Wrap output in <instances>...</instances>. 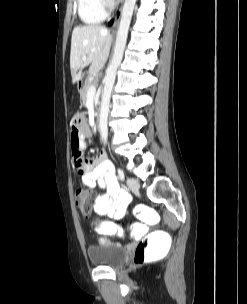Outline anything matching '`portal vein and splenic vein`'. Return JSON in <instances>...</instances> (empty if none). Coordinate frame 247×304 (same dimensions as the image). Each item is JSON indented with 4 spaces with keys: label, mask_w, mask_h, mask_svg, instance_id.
Returning <instances> with one entry per match:
<instances>
[{
    "label": "portal vein and splenic vein",
    "mask_w": 247,
    "mask_h": 304,
    "mask_svg": "<svg viewBox=\"0 0 247 304\" xmlns=\"http://www.w3.org/2000/svg\"><path fill=\"white\" fill-rule=\"evenodd\" d=\"M83 60H86V56L83 57ZM96 93V88L94 85L90 86L87 92V96H94Z\"/></svg>",
    "instance_id": "18ae733b"
}]
</instances>
